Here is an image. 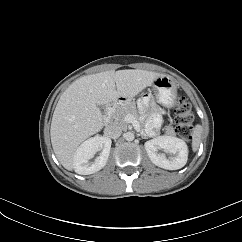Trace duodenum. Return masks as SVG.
<instances>
[{
	"mask_svg": "<svg viewBox=\"0 0 242 242\" xmlns=\"http://www.w3.org/2000/svg\"><path fill=\"white\" fill-rule=\"evenodd\" d=\"M119 102H120L119 100H115V101H113L111 104H109V105L107 106L106 113H105V115H104V123H105L106 125L109 124L111 114L113 113V111H114V109H115V106H116Z\"/></svg>",
	"mask_w": 242,
	"mask_h": 242,
	"instance_id": "obj_1",
	"label": "duodenum"
}]
</instances>
